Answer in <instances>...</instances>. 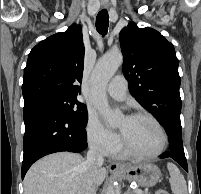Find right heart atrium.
Instances as JSON below:
<instances>
[{
  "mask_svg": "<svg viewBox=\"0 0 201 194\" xmlns=\"http://www.w3.org/2000/svg\"><path fill=\"white\" fill-rule=\"evenodd\" d=\"M85 130L87 141L95 151L107 155L119 147V137L107 129L94 114H89Z\"/></svg>",
  "mask_w": 201,
  "mask_h": 194,
  "instance_id": "right-heart-atrium-1",
  "label": "right heart atrium"
}]
</instances>
